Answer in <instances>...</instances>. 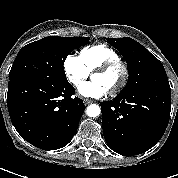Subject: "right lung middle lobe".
<instances>
[{"instance_id":"dd1d6c3e","label":"right lung middle lobe","mask_w":178,"mask_h":178,"mask_svg":"<svg viewBox=\"0 0 178 178\" xmlns=\"http://www.w3.org/2000/svg\"><path fill=\"white\" fill-rule=\"evenodd\" d=\"M88 41L89 37L50 36L32 42L17 54L9 79H65L63 64L67 55Z\"/></svg>"}]
</instances>
